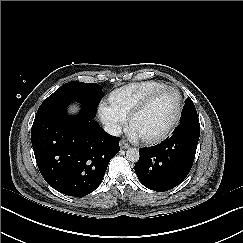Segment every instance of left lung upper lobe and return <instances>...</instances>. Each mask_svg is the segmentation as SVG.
Returning a JSON list of instances; mask_svg holds the SVG:
<instances>
[{
    "label": "left lung upper lobe",
    "instance_id": "obj_1",
    "mask_svg": "<svg viewBox=\"0 0 243 243\" xmlns=\"http://www.w3.org/2000/svg\"><path fill=\"white\" fill-rule=\"evenodd\" d=\"M197 117H198V115H197L196 108H195L192 100L190 99V97H188L186 99L185 106L182 111L181 121L188 119V118H197Z\"/></svg>",
    "mask_w": 243,
    "mask_h": 243
}]
</instances>
